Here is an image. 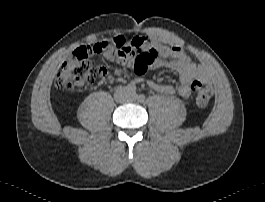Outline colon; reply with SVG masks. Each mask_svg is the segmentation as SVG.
I'll return each mask as SVG.
<instances>
[{
  "instance_id": "1",
  "label": "colon",
  "mask_w": 265,
  "mask_h": 202,
  "mask_svg": "<svg viewBox=\"0 0 265 202\" xmlns=\"http://www.w3.org/2000/svg\"><path fill=\"white\" fill-rule=\"evenodd\" d=\"M86 52L69 56L62 64L55 81L61 91H79L95 81L97 76H107L108 71L93 65L89 55H99L105 51H116L123 55L134 54V72L142 76L147 70V62L156 56V51L143 45V40H128L115 37L105 42L89 45ZM196 104L206 107L212 100L213 87L194 81L191 84Z\"/></svg>"
}]
</instances>
